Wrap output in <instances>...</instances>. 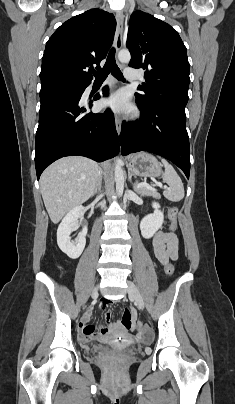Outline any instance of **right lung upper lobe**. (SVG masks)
Returning a JSON list of instances; mask_svg holds the SVG:
<instances>
[{"instance_id": "1", "label": "right lung upper lobe", "mask_w": 235, "mask_h": 404, "mask_svg": "<svg viewBox=\"0 0 235 404\" xmlns=\"http://www.w3.org/2000/svg\"><path fill=\"white\" fill-rule=\"evenodd\" d=\"M113 14L90 9L64 22L49 38L42 58L41 85L51 82L91 83L113 42Z\"/></svg>"}]
</instances>
